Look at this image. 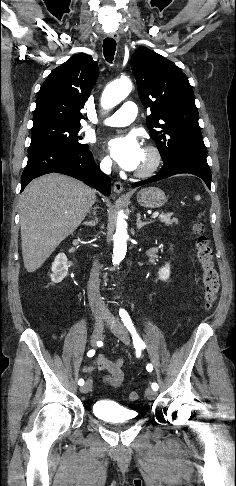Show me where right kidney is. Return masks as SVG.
<instances>
[{
  "instance_id": "right-kidney-1",
  "label": "right kidney",
  "mask_w": 236,
  "mask_h": 486,
  "mask_svg": "<svg viewBox=\"0 0 236 486\" xmlns=\"http://www.w3.org/2000/svg\"><path fill=\"white\" fill-rule=\"evenodd\" d=\"M52 274L50 275L53 283H60L68 273L67 257L64 253H59L52 263Z\"/></svg>"
}]
</instances>
